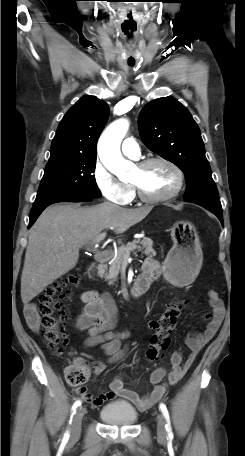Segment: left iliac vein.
<instances>
[{
	"instance_id": "left-iliac-vein-1",
	"label": "left iliac vein",
	"mask_w": 245,
	"mask_h": 456,
	"mask_svg": "<svg viewBox=\"0 0 245 456\" xmlns=\"http://www.w3.org/2000/svg\"><path fill=\"white\" fill-rule=\"evenodd\" d=\"M166 422L163 414L157 415V435L159 440L165 441L167 438Z\"/></svg>"
}]
</instances>
